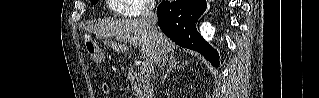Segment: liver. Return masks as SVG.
<instances>
[{"label":"liver","mask_w":319,"mask_h":98,"mask_svg":"<svg viewBox=\"0 0 319 98\" xmlns=\"http://www.w3.org/2000/svg\"><path fill=\"white\" fill-rule=\"evenodd\" d=\"M90 32L106 39V43L120 52H127L128 46L117 44L111 40L112 37H120L122 41L128 39L140 42L141 52L150 58L153 64H158L159 50L163 46L167 53H174L176 45L161 31L153 35L147 29L142 19H124L102 21L87 27Z\"/></svg>","instance_id":"obj_1"}]
</instances>
